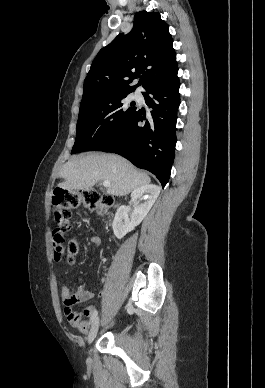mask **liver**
<instances>
[{
    "instance_id": "6515ba94",
    "label": "liver",
    "mask_w": 265,
    "mask_h": 388,
    "mask_svg": "<svg viewBox=\"0 0 265 388\" xmlns=\"http://www.w3.org/2000/svg\"><path fill=\"white\" fill-rule=\"evenodd\" d=\"M59 178L65 182L58 184L64 190H88L98 182H111L107 188L109 196H126L140 186H148L151 180L144 172H138L134 166L113 154H89L83 158H72L62 166Z\"/></svg>"
}]
</instances>
